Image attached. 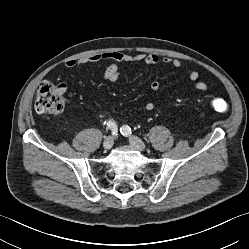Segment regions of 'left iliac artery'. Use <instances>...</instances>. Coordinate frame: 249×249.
Masks as SVG:
<instances>
[{"mask_svg":"<svg viewBox=\"0 0 249 249\" xmlns=\"http://www.w3.org/2000/svg\"><path fill=\"white\" fill-rule=\"evenodd\" d=\"M120 132L123 135L127 136V135L131 134V128L128 125H124V126H122V128H120Z\"/></svg>","mask_w":249,"mask_h":249,"instance_id":"1","label":"left iliac artery"}]
</instances>
